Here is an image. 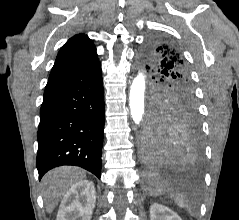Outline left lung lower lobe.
<instances>
[{
	"mask_svg": "<svg viewBox=\"0 0 239 220\" xmlns=\"http://www.w3.org/2000/svg\"><path fill=\"white\" fill-rule=\"evenodd\" d=\"M152 111L142 142L148 168L158 170L172 164H195L201 157L196 112Z\"/></svg>",
	"mask_w": 239,
	"mask_h": 220,
	"instance_id": "0a47b994",
	"label": "left lung lower lobe"
}]
</instances>
